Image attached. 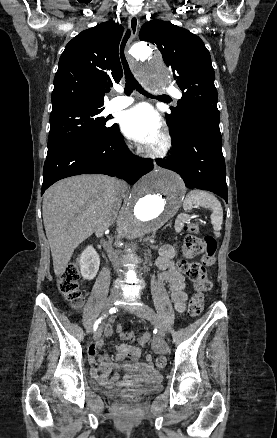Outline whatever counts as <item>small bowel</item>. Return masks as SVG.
Returning <instances> with one entry per match:
<instances>
[{
	"label": "small bowel",
	"instance_id": "c3829d8e",
	"mask_svg": "<svg viewBox=\"0 0 277 438\" xmlns=\"http://www.w3.org/2000/svg\"><path fill=\"white\" fill-rule=\"evenodd\" d=\"M175 254V249L172 246H163L156 261V265L160 271L159 280L161 282L169 283L171 298L174 302L176 311L178 313H183L185 311V302L187 298L185 293L186 279L178 270L174 262ZM103 331L105 337H112L113 332L111 326H104ZM123 338L126 341H133L135 340L136 335L133 332H126L124 333ZM148 339L149 335L147 333L143 334L138 340L139 347L144 348ZM139 347L121 344L118 347L117 359H131V362L125 365L124 368L128 372L134 374V376L148 375L151 379H155L156 374L152 364V356L150 354L146 355L144 363H138L136 361L140 355ZM96 348L97 344L93 343L89 349V360L93 364L91 372L99 385L112 389L120 384L119 375L117 373L111 374L115 362L110 363L108 360H103L99 366L100 373H98L95 367V360L97 357Z\"/></svg>",
	"mask_w": 277,
	"mask_h": 438
}]
</instances>
